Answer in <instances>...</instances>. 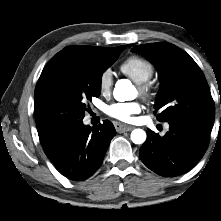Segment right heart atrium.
Here are the masks:
<instances>
[{"instance_id": "1", "label": "right heart atrium", "mask_w": 221, "mask_h": 221, "mask_svg": "<svg viewBox=\"0 0 221 221\" xmlns=\"http://www.w3.org/2000/svg\"><path fill=\"white\" fill-rule=\"evenodd\" d=\"M113 84V77L110 70H104L99 77V88L102 93H108Z\"/></svg>"}]
</instances>
